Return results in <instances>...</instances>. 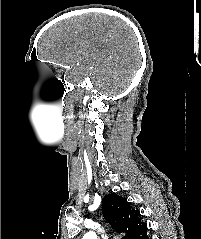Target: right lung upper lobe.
Listing matches in <instances>:
<instances>
[{
	"label": "right lung upper lobe",
	"instance_id": "obj_1",
	"mask_svg": "<svg viewBox=\"0 0 201 239\" xmlns=\"http://www.w3.org/2000/svg\"><path fill=\"white\" fill-rule=\"evenodd\" d=\"M102 213L117 233H125L122 239H144L147 224L141 221L140 211L131 208L126 198L115 193L103 199Z\"/></svg>",
	"mask_w": 201,
	"mask_h": 239
}]
</instances>
